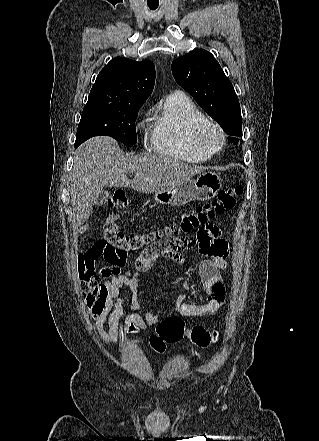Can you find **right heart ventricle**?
<instances>
[{"label": "right heart ventricle", "instance_id": "1", "mask_svg": "<svg viewBox=\"0 0 319 441\" xmlns=\"http://www.w3.org/2000/svg\"><path fill=\"white\" fill-rule=\"evenodd\" d=\"M207 116L183 94L169 95L150 124L152 152L187 162H204L214 153L200 148L195 132Z\"/></svg>", "mask_w": 319, "mask_h": 441}]
</instances>
